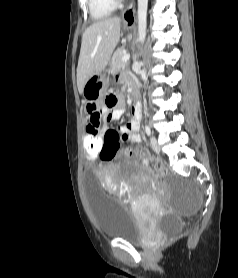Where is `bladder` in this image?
<instances>
[{
  "label": "bladder",
  "instance_id": "obj_1",
  "mask_svg": "<svg viewBox=\"0 0 238 278\" xmlns=\"http://www.w3.org/2000/svg\"><path fill=\"white\" fill-rule=\"evenodd\" d=\"M85 180H96V175H85ZM86 194L100 233L108 238L141 243L145 236L142 222L117 197L99 186V181H85Z\"/></svg>",
  "mask_w": 238,
  "mask_h": 278
}]
</instances>
